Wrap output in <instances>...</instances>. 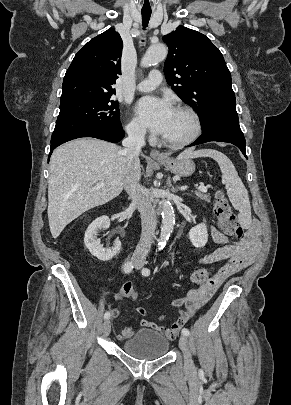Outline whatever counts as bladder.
<instances>
[{"instance_id":"obj_1","label":"bladder","mask_w":291,"mask_h":405,"mask_svg":"<svg viewBox=\"0 0 291 405\" xmlns=\"http://www.w3.org/2000/svg\"><path fill=\"white\" fill-rule=\"evenodd\" d=\"M121 350L137 359L153 360L164 356L169 349L168 339L152 329H141L124 340Z\"/></svg>"}]
</instances>
